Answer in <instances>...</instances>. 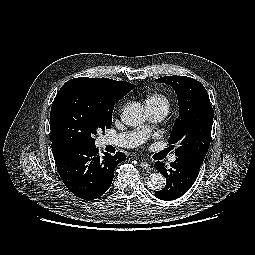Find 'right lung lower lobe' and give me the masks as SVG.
<instances>
[{
	"mask_svg": "<svg viewBox=\"0 0 255 255\" xmlns=\"http://www.w3.org/2000/svg\"><path fill=\"white\" fill-rule=\"evenodd\" d=\"M56 167L65 186L81 199L92 200L110 187L116 166L126 160L122 152L100 158L95 145L53 142Z\"/></svg>",
	"mask_w": 255,
	"mask_h": 255,
	"instance_id": "right-lung-lower-lobe-1",
	"label": "right lung lower lobe"
}]
</instances>
